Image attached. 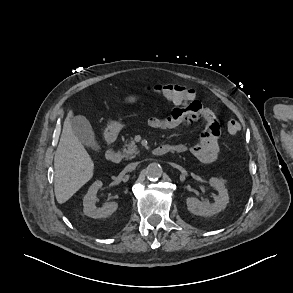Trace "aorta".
<instances>
[{
    "instance_id": "aorta-1",
    "label": "aorta",
    "mask_w": 293,
    "mask_h": 293,
    "mask_svg": "<svg viewBox=\"0 0 293 293\" xmlns=\"http://www.w3.org/2000/svg\"><path fill=\"white\" fill-rule=\"evenodd\" d=\"M163 173L162 167L158 163H151L146 168V176L150 180H156L161 177Z\"/></svg>"
}]
</instances>
